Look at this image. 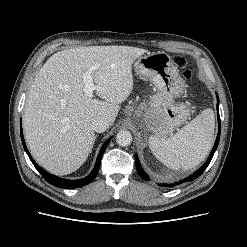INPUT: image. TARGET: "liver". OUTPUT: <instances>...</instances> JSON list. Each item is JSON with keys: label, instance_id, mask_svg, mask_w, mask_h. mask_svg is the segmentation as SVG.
I'll return each mask as SVG.
<instances>
[{"label": "liver", "instance_id": "obj_1", "mask_svg": "<svg viewBox=\"0 0 247 247\" xmlns=\"http://www.w3.org/2000/svg\"><path fill=\"white\" fill-rule=\"evenodd\" d=\"M147 50L129 46H88L59 51L42 66L28 93L23 116L25 139L34 159L47 171L67 175L92 151V120L113 125L119 104L134 86L133 62ZM96 66V100L84 92L83 74Z\"/></svg>", "mask_w": 247, "mask_h": 247}]
</instances>
